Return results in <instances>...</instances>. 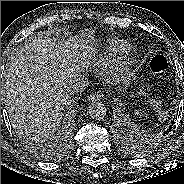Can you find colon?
Listing matches in <instances>:
<instances>
[{"instance_id": "1", "label": "colon", "mask_w": 184, "mask_h": 184, "mask_svg": "<svg viewBox=\"0 0 184 184\" xmlns=\"http://www.w3.org/2000/svg\"><path fill=\"white\" fill-rule=\"evenodd\" d=\"M168 62L163 55H156L151 60L152 70L161 77L166 76Z\"/></svg>"}]
</instances>
